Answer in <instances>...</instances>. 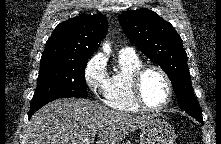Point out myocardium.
Wrapping results in <instances>:
<instances>
[{
	"instance_id": "f54148a6",
	"label": "myocardium",
	"mask_w": 221,
	"mask_h": 144,
	"mask_svg": "<svg viewBox=\"0 0 221 144\" xmlns=\"http://www.w3.org/2000/svg\"><path fill=\"white\" fill-rule=\"evenodd\" d=\"M151 70L159 72L164 78L168 87L167 98L165 102L158 107H150L149 105H147L142 95L143 78L146 73ZM131 93L134 102L140 109L148 112H159L165 109L171 103L174 94V87L169 75L163 68L154 64H142L131 75Z\"/></svg>"
}]
</instances>
